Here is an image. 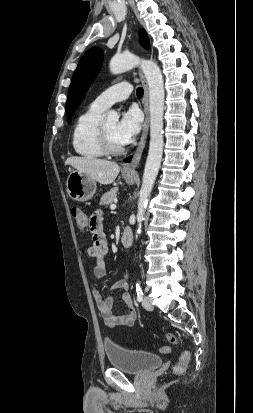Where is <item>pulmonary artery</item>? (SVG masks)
Masks as SVG:
<instances>
[{
    "mask_svg": "<svg viewBox=\"0 0 253 413\" xmlns=\"http://www.w3.org/2000/svg\"><path fill=\"white\" fill-rule=\"evenodd\" d=\"M132 92V85L128 82L117 83L103 91L92 102L96 108L106 110L116 102L126 100Z\"/></svg>",
    "mask_w": 253,
    "mask_h": 413,
    "instance_id": "pulmonary-artery-1",
    "label": "pulmonary artery"
}]
</instances>
